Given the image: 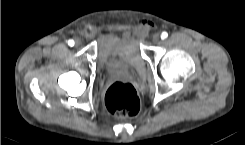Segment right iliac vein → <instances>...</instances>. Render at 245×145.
Listing matches in <instances>:
<instances>
[{
  "label": "right iliac vein",
  "mask_w": 245,
  "mask_h": 145,
  "mask_svg": "<svg viewBox=\"0 0 245 145\" xmlns=\"http://www.w3.org/2000/svg\"><path fill=\"white\" fill-rule=\"evenodd\" d=\"M82 44L81 40L80 39H75V46L76 47H79L80 45Z\"/></svg>",
  "instance_id": "1"
}]
</instances>
